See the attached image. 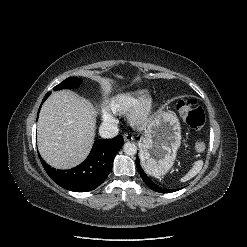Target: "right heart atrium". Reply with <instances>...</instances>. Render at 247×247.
Returning a JSON list of instances; mask_svg holds the SVG:
<instances>
[{
	"instance_id": "right-heart-atrium-1",
	"label": "right heart atrium",
	"mask_w": 247,
	"mask_h": 247,
	"mask_svg": "<svg viewBox=\"0 0 247 247\" xmlns=\"http://www.w3.org/2000/svg\"><path fill=\"white\" fill-rule=\"evenodd\" d=\"M102 117H103V120L106 121V122H112L113 121V118L111 115H109L108 113L104 112L102 114Z\"/></svg>"
}]
</instances>
